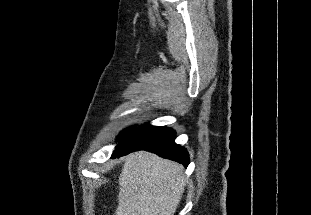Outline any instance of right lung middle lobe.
I'll list each match as a JSON object with an SVG mask.
<instances>
[{
    "instance_id": "1",
    "label": "right lung middle lobe",
    "mask_w": 311,
    "mask_h": 215,
    "mask_svg": "<svg viewBox=\"0 0 311 215\" xmlns=\"http://www.w3.org/2000/svg\"><path fill=\"white\" fill-rule=\"evenodd\" d=\"M135 127H130L128 129H125L120 136L118 137L117 141H121L122 139H124Z\"/></svg>"
}]
</instances>
